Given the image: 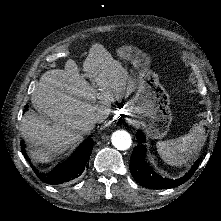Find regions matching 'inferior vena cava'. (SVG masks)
Masks as SVG:
<instances>
[{"instance_id":"obj_1","label":"inferior vena cava","mask_w":221,"mask_h":221,"mask_svg":"<svg viewBox=\"0 0 221 221\" xmlns=\"http://www.w3.org/2000/svg\"><path fill=\"white\" fill-rule=\"evenodd\" d=\"M104 114H105V110L104 111H101V112H98L94 115H92L90 117V123L94 126L96 123H98V121L104 117Z\"/></svg>"}]
</instances>
